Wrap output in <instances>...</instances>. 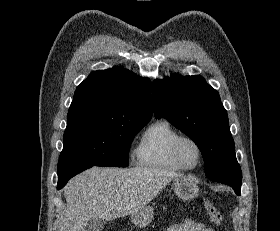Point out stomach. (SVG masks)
I'll return each mask as SVG.
<instances>
[{
	"mask_svg": "<svg viewBox=\"0 0 280 231\" xmlns=\"http://www.w3.org/2000/svg\"><path fill=\"white\" fill-rule=\"evenodd\" d=\"M197 183L198 179H195L192 175H181V177L172 179V187L176 195H178L180 199H184V201H190V199L197 197L199 193ZM153 215V207L146 205L140 213H132L131 221L134 225H137V227H146L148 223H151Z\"/></svg>",
	"mask_w": 280,
	"mask_h": 231,
	"instance_id": "obj_1",
	"label": "stomach"
}]
</instances>
